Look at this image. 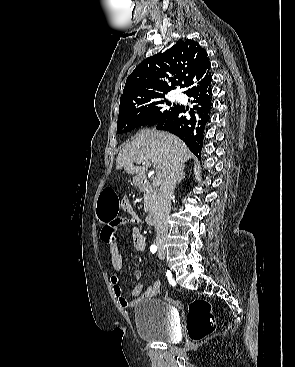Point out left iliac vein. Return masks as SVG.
<instances>
[{"label": "left iliac vein", "instance_id": "obj_1", "mask_svg": "<svg viewBox=\"0 0 295 367\" xmlns=\"http://www.w3.org/2000/svg\"><path fill=\"white\" fill-rule=\"evenodd\" d=\"M158 256L161 260L164 259V254L162 253V250L159 251Z\"/></svg>", "mask_w": 295, "mask_h": 367}]
</instances>
